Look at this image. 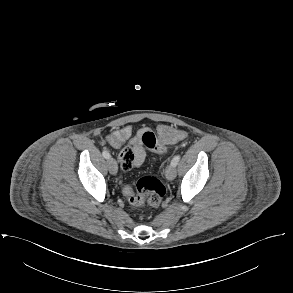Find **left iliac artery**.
Returning a JSON list of instances; mask_svg holds the SVG:
<instances>
[{
  "label": "left iliac artery",
  "mask_w": 293,
  "mask_h": 293,
  "mask_svg": "<svg viewBox=\"0 0 293 293\" xmlns=\"http://www.w3.org/2000/svg\"><path fill=\"white\" fill-rule=\"evenodd\" d=\"M181 156L180 155H176L174 156V158L171 161V164L176 166L178 164V162L180 161Z\"/></svg>",
  "instance_id": "1"
}]
</instances>
